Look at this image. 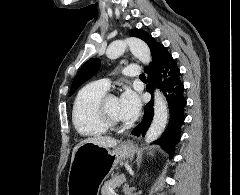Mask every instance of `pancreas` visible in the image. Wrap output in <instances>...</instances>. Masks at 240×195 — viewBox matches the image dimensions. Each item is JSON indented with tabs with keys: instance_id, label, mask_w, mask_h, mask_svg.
<instances>
[{
	"instance_id": "cf45deb5",
	"label": "pancreas",
	"mask_w": 240,
	"mask_h": 195,
	"mask_svg": "<svg viewBox=\"0 0 240 195\" xmlns=\"http://www.w3.org/2000/svg\"><path fill=\"white\" fill-rule=\"evenodd\" d=\"M123 181H126V177H124V175H116V177H111V179H108V181L102 185L101 195H111L109 187L115 189V187H119Z\"/></svg>"
}]
</instances>
